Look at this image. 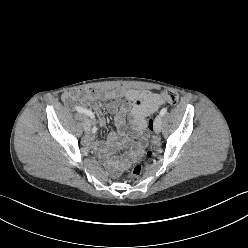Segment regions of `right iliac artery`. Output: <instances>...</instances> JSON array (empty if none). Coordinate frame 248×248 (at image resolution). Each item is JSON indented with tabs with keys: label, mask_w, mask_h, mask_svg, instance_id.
Instances as JSON below:
<instances>
[{
	"label": "right iliac artery",
	"mask_w": 248,
	"mask_h": 248,
	"mask_svg": "<svg viewBox=\"0 0 248 248\" xmlns=\"http://www.w3.org/2000/svg\"><path fill=\"white\" fill-rule=\"evenodd\" d=\"M75 109H76V111H78L79 113H83V114H86V115L90 116L91 118H94L93 113H92L91 111L87 110V109H84V108L79 107V106L75 107ZM96 130H97L96 127H93V128H92V131H96Z\"/></svg>",
	"instance_id": "82829eb1"
}]
</instances>
